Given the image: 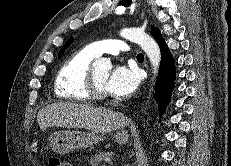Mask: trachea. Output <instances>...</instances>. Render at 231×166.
Returning <instances> with one entry per match:
<instances>
[{"mask_svg":"<svg viewBox=\"0 0 231 166\" xmlns=\"http://www.w3.org/2000/svg\"><path fill=\"white\" fill-rule=\"evenodd\" d=\"M137 60H144V55L142 53H139L137 55Z\"/></svg>","mask_w":231,"mask_h":166,"instance_id":"trachea-1","label":"trachea"}]
</instances>
